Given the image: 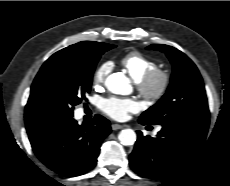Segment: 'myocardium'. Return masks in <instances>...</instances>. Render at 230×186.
<instances>
[{"label":"myocardium","mask_w":230,"mask_h":186,"mask_svg":"<svg viewBox=\"0 0 230 186\" xmlns=\"http://www.w3.org/2000/svg\"><path fill=\"white\" fill-rule=\"evenodd\" d=\"M170 83L171 75L167 70L154 68L137 82V87L144 99L154 103L165 96Z\"/></svg>","instance_id":"1"}]
</instances>
